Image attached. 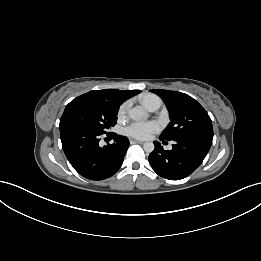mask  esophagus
<instances>
[{
    "label": "esophagus",
    "instance_id": "34e87169",
    "mask_svg": "<svg viewBox=\"0 0 261 261\" xmlns=\"http://www.w3.org/2000/svg\"><path fill=\"white\" fill-rule=\"evenodd\" d=\"M131 144H143L144 141H139V140H130Z\"/></svg>",
    "mask_w": 261,
    "mask_h": 261
}]
</instances>
